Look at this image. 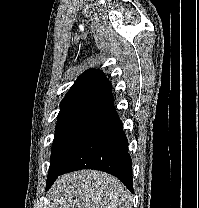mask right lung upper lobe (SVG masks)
I'll return each mask as SVG.
<instances>
[{
    "instance_id": "right-lung-upper-lobe-1",
    "label": "right lung upper lobe",
    "mask_w": 199,
    "mask_h": 208,
    "mask_svg": "<svg viewBox=\"0 0 199 208\" xmlns=\"http://www.w3.org/2000/svg\"><path fill=\"white\" fill-rule=\"evenodd\" d=\"M111 87L102 71H85L61 101L59 114L79 109H102L113 102Z\"/></svg>"
}]
</instances>
